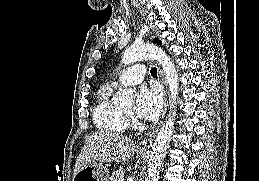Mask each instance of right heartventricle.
<instances>
[{"mask_svg": "<svg viewBox=\"0 0 259 181\" xmlns=\"http://www.w3.org/2000/svg\"><path fill=\"white\" fill-rule=\"evenodd\" d=\"M112 91L113 88L110 85H104L98 90L92 117L100 130L122 133L127 129V120L123 112L112 104L110 100Z\"/></svg>", "mask_w": 259, "mask_h": 181, "instance_id": "1", "label": "right heart ventricle"}]
</instances>
